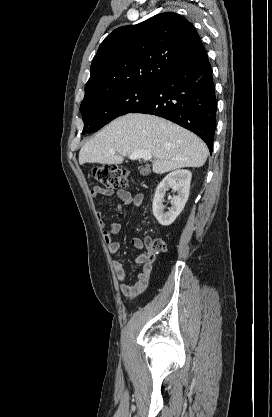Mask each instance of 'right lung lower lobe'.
Returning <instances> with one entry per match:
<instances>
[{
	"mask_svg": "<svg viewBox=\"0 0 272 417\" xmlns=\"http://www.w3.org/2000/svg\"><path fill=\"white\" fill-rule=\"evenodd\" d=\"M216 109L212 69L204 49L159 81L152 97L132 112L175 122L202 138L212 152Z\"/></svg>",
	"mask_w": 272,
	"mask_h": 417,
	"instance_id": "98d812e1",
	"label": "right lung lower lobe"
}]
</instances>
